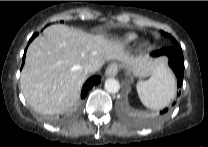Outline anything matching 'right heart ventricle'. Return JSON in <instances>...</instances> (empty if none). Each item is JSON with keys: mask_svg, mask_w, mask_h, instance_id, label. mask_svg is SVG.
Instances as JSON below:
<instances>
[{"mask_svg": "<svg viewBox=\"0 0 208 147\" xmlns=\"http://www.w3.org/2000/svg\"><path fill=\"white\" fill-rule=\"evenodd\" d=\"M138 36L135 33H127L121 37V40L125 44H132L137 40Z\"/></svg>", "mask_w": 208, "mask_h": 147, "instance_id": "1", "label": "right heart ventricle"}]
</instances>
